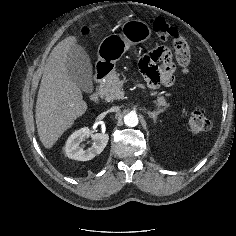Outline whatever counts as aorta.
I'll return each instance as SVG.
<instances>
[{
  "mask_svg": "<svg viewBox=\"0 0 236 236\" xmlns=\"http://www.w3.org/2000/svg\"><path fill=\"white\" fill-rule=\"evenodd\" d=\"M124 123L128 127H135L138 125V117L137 114L131 112L124 116Z\"/></svg>",
  "mask_w": 236,
  "mask_h": 236,
  "instance_id": "aorta-1",
  "label": "aorta"
}]
</instances>
